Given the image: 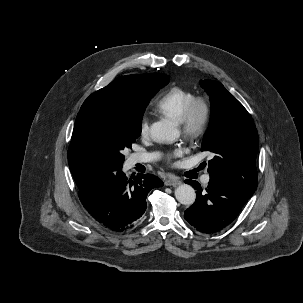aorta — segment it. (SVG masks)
I'll use <instances>...</instances> for the list:
<instances>
[{"instance_id":"1","label":"aorta","mask_w":303,"mask_h":303,"mask_svg":"<svg viewBox=\"0 0 303 303\" xmlns=\"http://www.w3.org/2000/svg\"><path fill=\"white\" fill-rule=\"evenodd\" d=\"M151 136L158 142H173L179 131L172 122L162 120L151 125ZM175 197L179 203L189 206L195 202L196 192L192 186L182 184L175 189Z\"/></svg>"}]
</instances>
